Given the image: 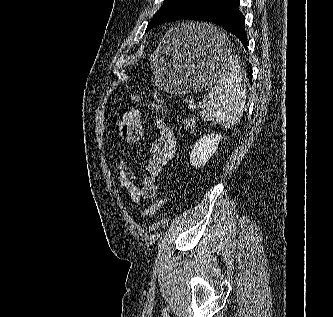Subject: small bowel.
<instances>
[{
    "instance_id": "1",
    "label": "small bowel",
    "mask_w": 333,
    "mask_h": 317,
    "mask_svg": "<svg viewBox=\"0 0 333 317\" xmlns=\"http://www.w3.org/2000/svg\"><path fill=\"white\" fill-rule=\"evenodd\" d=\"M155 127L157 141L148 145L145 175L140 186L137 185V176L132 171L131 164L124 157L117 161L119 183L135 204H139L142 199L151 200L157 196V180L176 152V137L171 128L160 119L155 120ZM118 128L125 142L135 147L143 145L144 119L139 109L133 108L125 112L118 122Z\"/></svg>"
}]
</instances>
